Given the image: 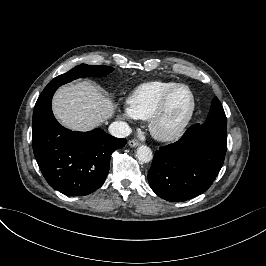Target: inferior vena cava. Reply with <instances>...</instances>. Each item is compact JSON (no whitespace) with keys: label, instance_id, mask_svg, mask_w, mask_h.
<instances>
[{"label":"inferior vena cava","instance_id":"inferior-vena-cava-1","mask_svg":"<svg viewBox=\"0 0 266 266\" xmlns=\"http://www.w3.org/2000/svg\"><path fill=\"white\" fill-rule=\"evenodd\" d=\"M109 133L116 138H125L132 132L131 128L126 122L115 121L109 125Z\"/></svg>","mask_w":266,"mask_h":266}]
</instances>
